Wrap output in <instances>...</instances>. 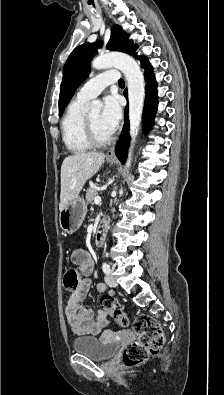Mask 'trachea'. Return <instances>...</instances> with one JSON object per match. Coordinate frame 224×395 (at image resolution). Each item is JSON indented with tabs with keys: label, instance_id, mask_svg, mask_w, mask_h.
I'll return each mask as SVG.
<instances>
[{
	"label": "trachea",
	"instance_id": "obj_1",
	"mask_svg": "<svg viewBox=\"0 0 224 395\" xmlns=\"http://www.w3.org/2000/svg\"><path fill=\"white\" fill-rule=\"evenodd\" d=\"M118 85H119V86H124V85H125L124 80H123V79H120V80L118 81Z\"/></svg>",
	"mask_w": 224,
	"mask_h": 395
}]
</instances>
